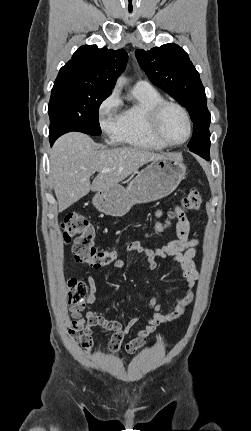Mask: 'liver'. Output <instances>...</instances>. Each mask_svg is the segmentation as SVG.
<instances>
[{"instance_id": "6515ba94", "label": "liver", "mask_w": 251, "mask_h": 431, "mask_svg": "<svg viewBox=\"0 0 251 431\" xmlns=\"http://www.w3.org/2000/svg\"><path fill=\"white\" fill-rule=\"evenodd\" d=\"M165 155L137 147L106 149L86 134L67 133L56 140L50 153V178L59 211L91 191H104L126 179L144 164ZM103 169H110L102 173ZM98 172L92 184L90 177Z\"/></svg>"}]
</instances>
